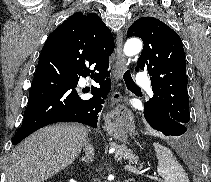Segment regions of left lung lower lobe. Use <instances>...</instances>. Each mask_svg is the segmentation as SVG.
Returning <instances> with one entry per match:
<instances>
[{"label": "left lung lower lobe", "instance_id": "obj_1", "mask_svg": "<svg viewBox=\"0 0 211 182\" xmlns=\"http://www.w3.org/2000/svg\"><path fill=\"white\" fill-rule=\"evenodd\" d=\"M150 125L164 135L180 136L179 142L183 146H189L191 142L187 126L177 122L167 114L154 117V121H151Z\"/></svg>", "mask_w": 211, "mask_h": 182}]
</instances>
